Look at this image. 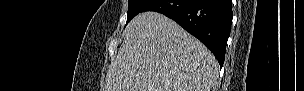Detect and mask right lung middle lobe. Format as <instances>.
<instances>
[{"label": "right lung middle lobe", "instance_id": "right-lung-middle-lobe-1", "mask_svg": "<svg viewBox=\"0 0 304 91\" xmlns=\"http://www.w3.org/2000/svg\"><path fill=\"white\" fill-rule=\"evenodd\" d=\"M149 2L151 0H128L127 23L137 14L141 13Z\"/></svg>", "mask_w": 304, "mask_h": 91}]
</instances>
